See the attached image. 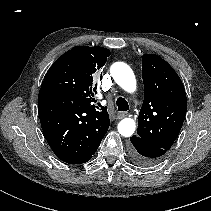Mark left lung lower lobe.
Here are the masks:
<instances>
[{"mask_svg":"<svg viewBox=\"0 0 211 211\" xmlns=\"http://www.w3.org/2000/svg\"><path fill=\"white\" fill-rule=\"evenodd\" d=\"M130 156L132 161L139 166H152L157 164L166 150L156 147L137 135L130 138Z\"/></svg>","mask_w":211,"mask_h":211,"instance_id":"left-lung-lower-lobe-1","label":"left lung lower lobe"}]
</instances>
